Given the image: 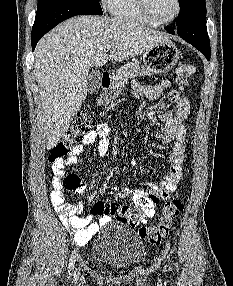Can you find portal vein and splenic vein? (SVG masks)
<instances>
[{"label":"portal vein and splenic vein","mask_w":233,"mask_h":286,"mask_svg":"<svg viewBox=\"0 0 233 286\" xmlns=\"http://www.w3.org/2000/svg\"><path fill=\"white\" fill-rule=\"evenodd\" d=\"M110 49H111V46L108 45V46H106V47L104 48V52H108Z\"/></svg>","instance_id":"portal-vein-and-splenic-vein-1"}]
</instances>
